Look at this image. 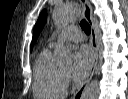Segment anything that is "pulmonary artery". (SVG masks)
<instances>
[{
	"mask_svg": "<svg viewBox=\"0 0 128 99\" xmlns=\"http://www.w3.org/2000/svg\"><path fill=\"white\" fill-rule=\"evenodd\" d=\"M82 34L80 30L75 26H69L65 28L61 34L59 35V41H65V42H78L81 41ZM50 47H53L55 45V42H50Z\"/></svg>",
	"mask_w": 128,
	"mask_h": 99,
	"instance_id": "1",
	"label": "pulmonary artery"
}]
</instances>
